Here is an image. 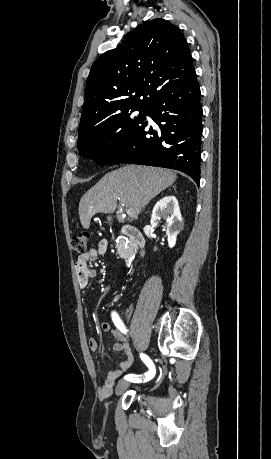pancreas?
I'll return each mask as SVG.
<instances>
[{"instance_id": "cf45deb5", "label": "pancreas", "mask_w": 271, "mask_h": 459, "mask_svg": "<svg viewBox=\"0 0 271 459\" xmlns=\"http://www.w3.org/2000/svg\"><path fill=\"white\" fill-rule=\"evenodd\" d=\"M116 247H117V253H120L121 257H125V259H127V257H129V255H131V249H130V247H128V249H126L125 241H120V243H118V245H116Z\"/></svg>"}]
</instances>
